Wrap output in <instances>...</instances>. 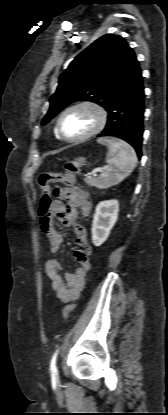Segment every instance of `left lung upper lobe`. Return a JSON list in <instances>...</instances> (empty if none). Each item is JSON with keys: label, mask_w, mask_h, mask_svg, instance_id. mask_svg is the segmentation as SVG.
Segmentation results:
<instances>
[{"label": "left lung upper lobe", "mask_w": 168, "mask_h": 415, "mask_svg": "<svg viewBox=\"0 0 168 415\" xmlns=\"http://www.w3.org/2000/svg\"><path fill=\"white\" fill-rule=\"evenodd\" d=\"M137 66L134 51L121 36L106 34L100 37L75 57L60 75L42 124L76 101H91L106 109Z\"/></svg>", "instance_id": "5c2ea615"}]
</instances>
